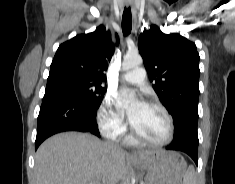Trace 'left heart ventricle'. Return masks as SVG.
Segmentation results:
<instances>
[{"label":"left heart ventricle","mask_w":235,"mask_h":184,"mask_svg":"<svg viewBox=\"0 0 235 184\" xmlns=\"http://www.w3.org/2000/svg\"><path fill=\"white\" fill-rule=\"evenodd\" d=\"M136 132L149 140L162 141L168 134V120L165 114L156 107L146 106L133 125Z\"/></svg>","instance_id":"1"}]
</instances>
